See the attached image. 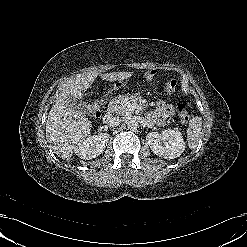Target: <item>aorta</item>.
<instances>
[{
  "instance_id": "762f6f07",
  "label": "aorta",
  "mask_w": 247,
  "mask_h": 247,
  "mask_svg": "<svg viewBox=\"0 0 247 247\" xmlns=\"http://www.w3.org/2000/svg\"><path fill=\"white\" fill-rule=\"evenodd\" d=\"M127 127L128 129L135 131L139 127V122L136 119L132 118L127 122Z\"/></svg>"
}]
</instances>
